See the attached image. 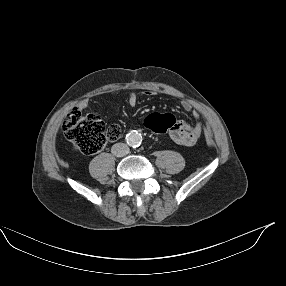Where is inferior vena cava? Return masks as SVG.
<instances>
[{"mask_svg": "<svg viewBox=\"0 0 286 286\" xmlns=\"http://www.w3.org/2000/svg\"><path fill=\"white\" fill-rule=\"evenodd\" d=\"M129 151V147L124 143H116L111 148V152L117 157L126 156Z\"/></svg>", "mask_w": 286, "mask_h": 286, "instance_id": "1", "label": "inferior vena cava"}]
</instances>
